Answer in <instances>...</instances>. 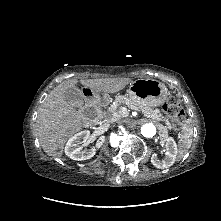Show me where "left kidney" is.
Listing matches in <instances>:
<instances>
[{
    "label": "left kidney",
    "mask_w": 221,
    "mask_h": 221,
    "mask_svg": "<svg viewBox=\"0 0 221 221\" xmlns=\"http://www.w3.org/2000/svg\"><path fill=\"white\" fill-rule=\"evenodd\" d=\"M165 159L159 160L157 154H153L151 157V163L159 169L169 168L175 162L178 149L176 142L172 137H168L165 140Z\"/></svg>",
    "instance_id": "1"
}]
</instances>
